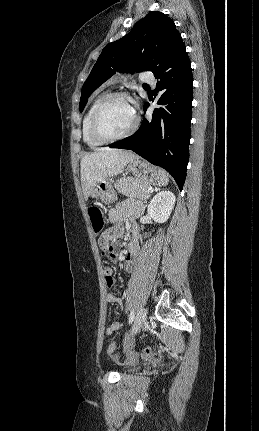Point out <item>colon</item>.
<instances>
[{
    "label": "colon",
    "instance_id": "obj_1",
    "mask_svg": "<svg viewBox=\"0 0 259 431\" xmlns=\"http://www.w3.org/2000/svg\"><path fill=\"white\" fill-rule=\"evenodd\" d=\"M89 218L95 235L99 238V245L102 250L104 257L107 260L115 261L117 259V251L115 249L113 240L105 236V220L104 215L100 208L92 206L88 209ZM107 352L109 356L116 362H120V356L117 353L116 345L114 342H110L108 345ZM155 355V349L152 347L146 348L142 352V358L147 359Z\"/></svg>",
    "mask_w": 259,
    "mask_h": 431
}]
</instances>
